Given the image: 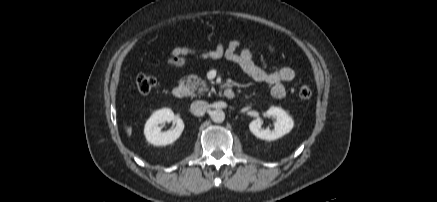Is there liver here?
Here are the masks:
<instances>
[{
    "label": "liver",
    "instance_id": "liver-1",
    "mask_svg": "<svg viewBox=\"0 0 437 202\" xmlns=\"http://www.w3.org/2000/svg\"><path fill=\"white\" fill-rule=\"evenodd\" d=\"M124 128H125L127 135L130 137L131 133H132V128L130 126H127V125H125Z\"/></svg>",
    "mask_w": 437,
    "mask_h": 202
}]
</instances>
